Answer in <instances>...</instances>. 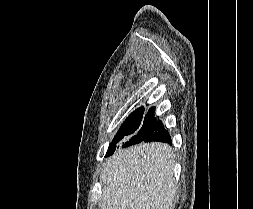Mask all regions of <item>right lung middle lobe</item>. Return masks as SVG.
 I'll return each instance as SVG.
<instances>
[{
  "label": "right lung middle lobe",
  "mask_w": 253,
  "mask_h": 209,
  "mask_svg": "<svg viewBox=\"0 0 253 209\" xmlns=\"http://www.w3.org/2000/svg\"><path fill=\"white\" fill-rule=\"evenodd\" d=\"M143 112L129 116L121 125L106 153V157L113 154L117 147H128L143 142V134L149 133L156 126L154 109H150L143 118Z\"/></svg>",
  "instance_id": "right-lung-middle-lobe-1"
}]
</instances>
